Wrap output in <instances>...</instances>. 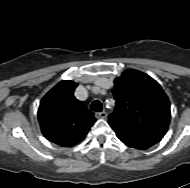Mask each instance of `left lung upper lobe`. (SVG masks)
I'll return each instance as SVG.
<instances>
[{
	"label": "left lung upper lobe",
	"mask_w": 190,
	"mask_h": 188,
	"mask_svg": "<svg viewBox=\"0 0 190 188\" xmlns=\"http://www.w3.org/2000/svg\"><path fill=\"white\" fill-rule=\"evenodd\" d=\"M114 83L116 108L109 124L164 136L170 122V103L161 86L138 70L124 71Z\"/></svg>",
	"instance_id": "obj_1"
}]
</instances>
